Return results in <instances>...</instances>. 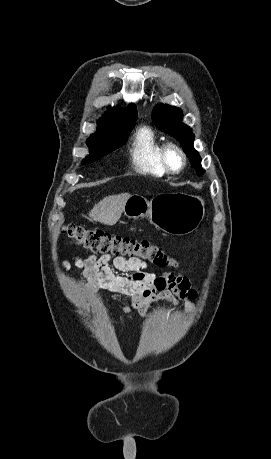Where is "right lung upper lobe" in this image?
Listing matches in <instances>:
<instances>
[{"instance_id": "obj_1", "label": "right lung upper lobe", "mask_w": 271, "mask_h": 459, "mask_svg": "<svg viewBox=\"0 0 271 459\" xmlns=\"http://www.w3.org/2000/svg\"><path fill=\"white\" fill-rule=\"evenodd\" d=\"M137 119V110L135 105L131 104L128 108L119 110L115 108L109 109L105 116L100 120L99 123L111 122V121H132Z\"/></svg>"}]
</instances>
